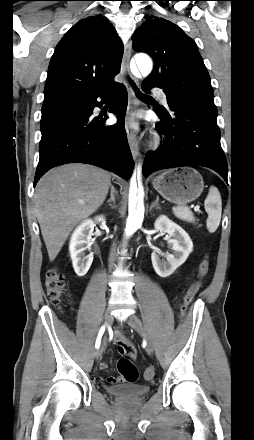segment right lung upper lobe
<instances>
[{"label":"right lung upper lobe","instance_id":"right-lung-upper-lobe-1","mask_svg":"<svg viewBox=\"0 0 254 440\" xmlns=\"http://www.w3.org/2000/svg\"><path fill=\"white\" fill-rule=\"evenodd\" d=\"M123 45L118 34L101 16L87 17L71 27L51 58L45 99L78 90H111L119 83Z\"/></svg>","mask_w":254,"mask_h":440}]
</instances>
